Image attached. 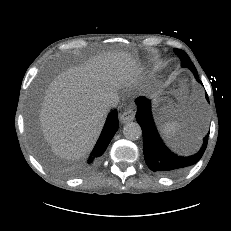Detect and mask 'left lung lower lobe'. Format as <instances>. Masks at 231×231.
I'll list each match as a JSON object with an SVG mask.
<instances>
[{"label": "left lung lower lobe", "instance_id": "left-lung-lower-lobe-1", "mask_svg": "<svg viewBox=\"0 0 231 231\" xmlns=\"http://www.w3.org/2000/svg\"><path fill=\"white\" fill-rule=\"evenodd\" d=\"M198 82V75L195 76ZM206 99L209 101L208 96ZM137 104L136 119L143 132V153L147 166L161 175L173 176L180 174L197 163L207 147L209 133L205 136L200 150L191 156H179L171 152L162 142L155 127L150 101L144 97L135 100Z\"/></svg>", "mask_w": 231, "mask_h": 231}]
</instances>
